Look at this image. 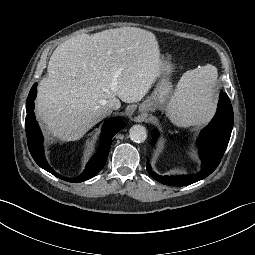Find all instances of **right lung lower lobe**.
Masks as SVG:
<instances>
[{"label":"right lung lower lobe","mask_w":255,"mask_h":255,"mask_svg":"<svg viewBox=\"0 0 255 255\" xmlns=\"http://www.w3.org/2000/svg\"><path fill=\"white\" fill-rule=\"evenodd\" d=\"M37 94V83L31 88L27 103L26 112L28 113L25 120V128L27 134V143L29 151L34 158L35 162L45 169L46 171L52 173L58 178L65 180L67 182L79 183L83 182L89 178L94 177L106 164L107 156L110 151V146L112 144L111 139L113 136L120 131L124 125L120 120L112 119L105 122L101 133V144L98 152L92 157V159L87 164L83 173L77 177H64L55 172L48 164L43 150V137L41 130L36 122L34 115V100Z\"/></svg>","instance_id":"right-lung-lower-lobe-1"}]
</instances>
